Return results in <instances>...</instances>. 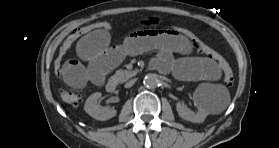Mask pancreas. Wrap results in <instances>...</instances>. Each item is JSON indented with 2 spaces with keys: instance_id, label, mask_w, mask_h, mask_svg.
<instances>
[{
  "instance_id": "obj_1",
  "label": "pancreas",
  "mask_w": 279,
  "mask_h": 148,
  "mask_svg": "<svg viewBox=\"0 0 279 148\" xmlns=\"http://www.w3.org/2000/svg\"><path fill=\"white\" fill-rule=\"evenodd\" d=\"M136 75V71H129V70H117L115 75L113 76L117 79L120 83L127 81L129 78Z\"/></svg>"
}]
</instances>
